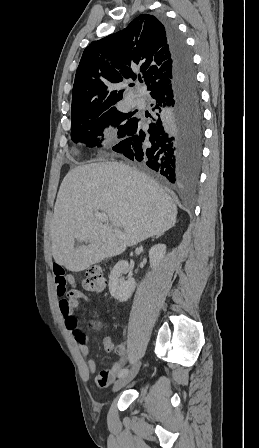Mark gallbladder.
I'll list each match as a JSON object with an SVG mask.
<instances>
[{"mask_svg":"<svg viewBox=\"0 0 259 448\" xmlns=\"http://www.w3.org/2000/svg\"><path fill=\"white\" fill-rule=\"evenodd\" d=\"M84 242H78V240H75V248H81V246H83Z\"/></svg>","mask_w":259,"mask_h":448,"instance_id":"1","label":"gallbladder"}]
</instances>
